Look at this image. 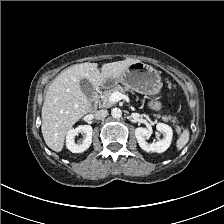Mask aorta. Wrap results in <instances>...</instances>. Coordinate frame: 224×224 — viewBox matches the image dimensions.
Wrapping results in <instances>:
<instances>
[{
  "mask_svg": "<svg viewBox=\"0 0 224 224\" xmlns=\"http://www.w3.org/2000/svg\"><path fill=\"white\" fill-rule=\"evenodd\" d=\"M111 115H112L113 118H120L121 115H122V112L119 108H113L111 110Z\"/></svg>",
  "mask_w": 224,
  "mask_h": 224,
  "instance_id": "aorta-1",
  "label": "aorta"
}]
</instances>
